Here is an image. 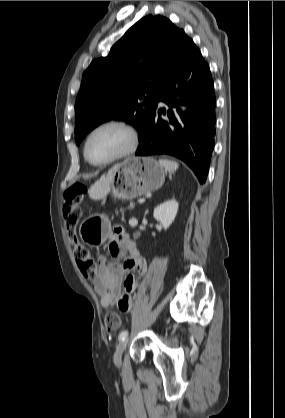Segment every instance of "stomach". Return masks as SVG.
Instances as JSON below:
<instances>
[{"label":"stomach","instance_id":"0dacf381","mask_svg":"<svg viewBox=\"0 0 285 418\" xmlns=\"http://www.w3.org/2000/svg\"><path fill=\"white\" fill-rule=\"evenodd\" d=\"M165 180V171L151 157H129L116 166L113 172L112 195L122 200H131L160 188ZM111 223L106 215L95 214L85 219L79 234L87 244H103L110 233Z\"/></svg>","mask_w":285,"mask_h":418}]
</instances>
